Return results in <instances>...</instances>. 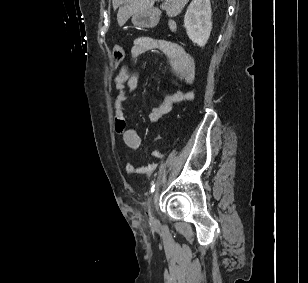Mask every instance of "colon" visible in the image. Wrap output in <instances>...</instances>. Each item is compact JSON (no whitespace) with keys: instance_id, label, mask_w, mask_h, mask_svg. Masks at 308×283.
Listing matches in <instances>:
<instances>
[{"instance_id":"5ec220e1","label":"colon","mask_w":308,"mask_h":283,"mask_svg":"<svg viewBox=\"0 0 308 283\" xmlns=\"http://www.w3.org/2000/svg\"><path fill=\"white\" fill-rule=\"evenodd\" d=\"M113 57L117 63L121 62L124 59V48L122 45H116L113 48Z\"/></svg>"}]
</instances>
